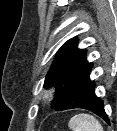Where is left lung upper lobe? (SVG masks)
<instances>
[{"instance_id":"1","label":"left lung upper lobe","mask_w":117,"mask_h":131,"mask_svg":"<svg viewBox=\"0 0 117 131\" xmlns=\"http://www.w3.org/2000/svg\"><path fill=\"white\" fill-rule=\"evenodd\" d=\"M78 39L72 38L62 45L46 76L45 85L57 88L52 103L55 110H65L72 102L69 93L85 87L93 66L86 60V50L77 48Z\"/></svg>"}]
</instances>
